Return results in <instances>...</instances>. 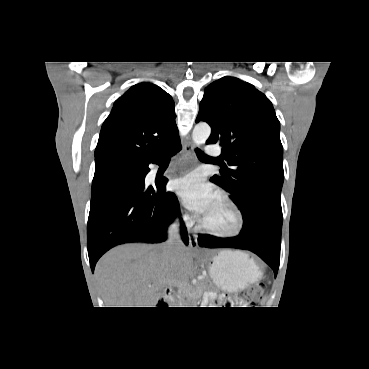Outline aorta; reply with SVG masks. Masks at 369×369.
I'll return each instance as SVG.
<instances>
[{"label": "aorta", "instance_id": "obj_1", "mask_svg": "<svg viewBox=\"0 0 369 369\" xmlns=\"http://www.w3.org/2000/svg\"><path fill=\"white\" fill-rule=\"evenodd\" d=\"M211 133V128L207 123H198L192 132V140L194 144L201 145L204 144L209 138Z\"/></svg>", "mask_w": 369, "mask_h": 369}]
</instances>
